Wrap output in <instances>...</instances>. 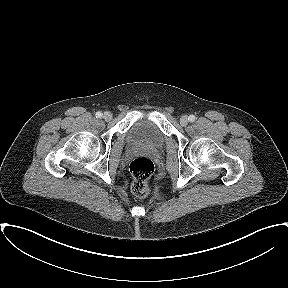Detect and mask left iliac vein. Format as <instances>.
Returning <instances> with one entry per match:
<instances>
[{"label":"left iliac vein","instance_id":"obj_1","mask_svg":"<svg viewBox=\"0 0 288 288\" xmlns=\"http://www.w3.org/2000/svg\"><path fill=\"white\" fill-rule=\"evenodd\" d=\"M180 124L182 126H186L188 124V117L186 115H183L181 118H180Z\"/></svg>","mask_w":288,"mask_h":288}]
</instances>
